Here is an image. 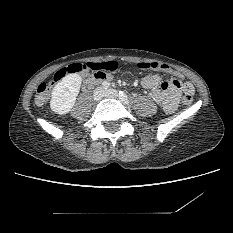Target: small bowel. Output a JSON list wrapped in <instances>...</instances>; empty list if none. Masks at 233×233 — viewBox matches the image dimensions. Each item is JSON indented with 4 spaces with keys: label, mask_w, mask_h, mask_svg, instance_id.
<instances>
[{
    "label": "small bowel",
    "mask_w": 233,
    "mask_h": 233,
    "mask_svg": "<svg viewBox=\"0 0 233 233\" xmlns=\"http://www.w3.org/2000/svg\"><path fill=\"white\" fill-rule=\"evenodd\" d=\"M98 65L92 62L85 63L81 74L86 75L89 70H97L106 74L110 79L111 76L108 71H114L118 66V62L116 59H109L101 63L102 67H97ZM162 78V74L151 73L142 79V86L150 90L151 99L158 102L166 113H173L177 109L181 94L183 92L193 94L194 89L188 81H181L179 79L163 81Z\"/></svg>",
    "instance_id": "1"
}]
</instances>
